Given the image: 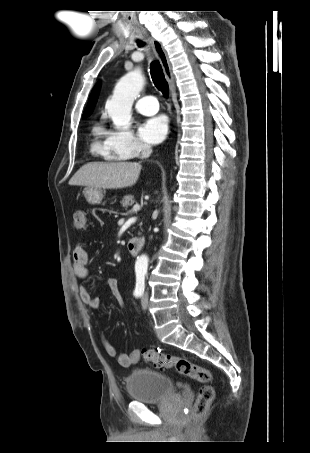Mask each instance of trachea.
<instances>
[{
    "mask_svg": "<svg viewBox=\"0 0 310 453\" xmlns=\"http://www.w3.org/2000/svg\"><path fill=\"white\" fill-rule=\"evenodd\" d=\"M138 45L141 47L144 45L143 42L139 41ZM151 77L154 82V85L158 90L162 92L165 97L169 95V86L165 79L162 67L157 60L152 61L150 67Z\"/></svg>",
    "mask_w": 310,
    "mask_h": 453,
    "instance_id": "3493384b",
    "label": "trachea"
}]
</instances>
